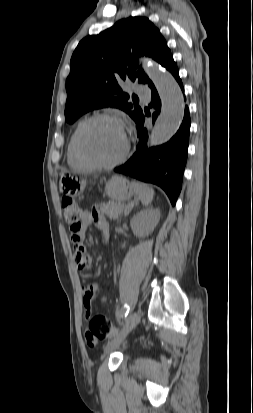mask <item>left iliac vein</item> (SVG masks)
<instances>
[{"mask_svg": "<svg viewBox=\"0 0 253 413\" xmlns=\"http://www.w3.org/2000/svg\"><path fill=\"white\" fill-rule=\"evenodd\" d=\"M140 319L141 315L139 312H134L133 314H131L130 317L127 319L125 325L123 326L121 332L113 340L108 342V344L105 346V353L109 354L117 347H119V345L125 339L126 335L138 325Z\"/></svg>", "mask_w": 253, "mask_h": 413, "instance_id": "4c4485c4", "label": "left iliac vein"}]
</instances>
